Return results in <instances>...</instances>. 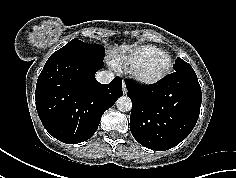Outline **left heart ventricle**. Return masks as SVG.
<instances>
[{
  "mask_svg": "<svg viewBox=\"0 0 236 178\" xmlns=\"http://www.w3.org/2000/svg\"><path fill=\"white\" fill-rule=\"evenodd\" d=\"M169 59L167 56H160L149 63L146 68V73L150 76L161 74L168 66Z\"/></svg>",
  "mask_w": 236,
  "mask_h": 178,
  "instance_id": "1",
  "label": "left heart ventricle"
}]
</instances>
